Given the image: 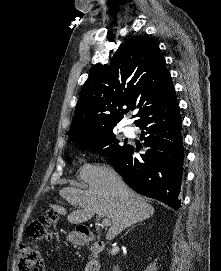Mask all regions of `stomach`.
Listing matches in <instances>:
<instances>
[{"label":"stomach","mask_w":221,"mask_h":271,"mask_svg":"<svg viewBox=\"0 0 221 271\" xmlns=\"http://www.w3.org/2000/svg\"><path fill=\"white\" fill-rule=\"evenodd\" d=\"M67 238H80V233H67Z\"/></svg>","instance_id":"0dacf381"}]
</instances>
